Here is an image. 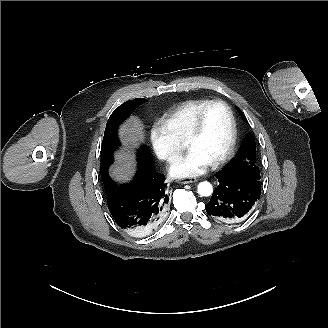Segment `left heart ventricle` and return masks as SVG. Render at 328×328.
<instances>
[{"mask_svg":"<svg viewBox=\"0 0 328 328\" xmlns=\"http://www.w3.org/2000/svg\"><path fill=\"white\" fill-rule=\"evenodd\" d=\"M232 137V124L227 109L215 106L209 110L200 133L186 145L203 154L210 163L220 158Z\"/></svg>","mask_w":328,"mask_h":328,"instance_id":"obj_1","label":"left heart ventricle"}]
</instances>
